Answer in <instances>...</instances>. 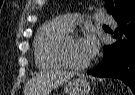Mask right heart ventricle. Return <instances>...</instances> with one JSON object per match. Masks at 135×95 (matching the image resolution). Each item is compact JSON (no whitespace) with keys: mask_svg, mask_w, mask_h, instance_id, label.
<instances>
[{"mask_svg":"<svg viewBox=\"0 0 135 95\" xmlns=\"http://www.w3.org/2000/svg\"><path fill=\"white\" fill-rule=\"evenodd\" d=\"M60 18L45 22L36 34L34 56L41 69H58L64 65L58 57V46L62 38L70 32Z\"/></svg>","mask_w":135,"mask_h":95,"instance_id":"obj_1","label":"right heart ventricle"}]
</instances>
